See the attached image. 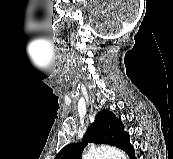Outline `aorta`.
Wrapping results in <instances>:
<instances>
[{
	"label": "aorta",
	"instance_id": "aorta-1",
	"mask_svg": "<svg viewBox=\"0 0 173 159\" xmlns=\"http://www.w3.org/2000/svg\"><path fill=\"white\" fill-rule=\"evenodd\" d=\"M82 159H127L125 154L112 147H98L90 149Z\"/></svg>",
	"mask_w": 173,
	"mask_h": 159
}]
</instances>
